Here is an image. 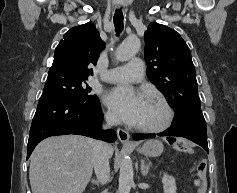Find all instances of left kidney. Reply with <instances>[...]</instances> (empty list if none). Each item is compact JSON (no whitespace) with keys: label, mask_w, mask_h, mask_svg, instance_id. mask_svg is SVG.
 Here are the masks:
<instances>
[{"label":"left kidney","mask_w":237,"mask_h":193,"mask_svg":"<svg viewBox=\"0 0 237 193\" xmlns=\"http://www.w3.org/2000/svg\"><path fill=\"white\" fill-rule=\"evenodd\" d=\"M164 193H176V182L172 176L164 174L162 177Z\"/></svg>","instance_id":"obj_1"}]
</instances>
